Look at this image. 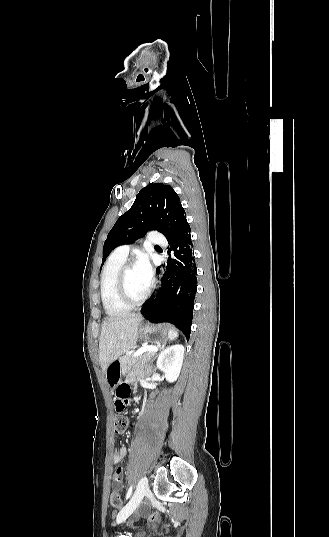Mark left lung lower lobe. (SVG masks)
Segmentation results:
<instances>
[{"label": "left lung lower lobe", "instance_id": "left-lung-lower-lobe-1", "mask_svg": "<svg viewBox=\"0 0 329 537\" xmlns=\"http://www.w3.org/2000/svg\"><path fill=\"white\" fill-rule=\"evenodd\" d=\"M190 231L186 221L178 233L168 240V254L171 257L162 278V288L156 299L152 297L145 302L143 309L151 317L150 321L170 322L182 330L188 339L197 291V268Z\"/></svg>", "mask_w": 329, "mask_h": 537}]
</instances>
